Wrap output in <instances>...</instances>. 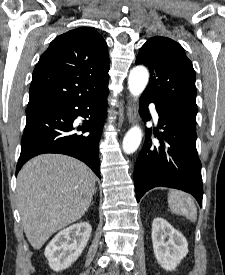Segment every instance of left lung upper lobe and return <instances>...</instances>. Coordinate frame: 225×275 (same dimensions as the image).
<instances>
[{"label": "left lung upper lobe", "instance_id": "5c2ea615", "mask_svg": "<svg viewBox=\"0 0 225 275\" xmlns=\"http://www.w3.org/2000/svg\"><path fill=\"white\" fill-rule=\"evenodd\" d=\"M135 63L150 70L144 94L196 117L195 71L180 44L166 37H152L141 47Z\"/></svg>", "mask_w": 225, "mask_h": 275}]
</instances>
